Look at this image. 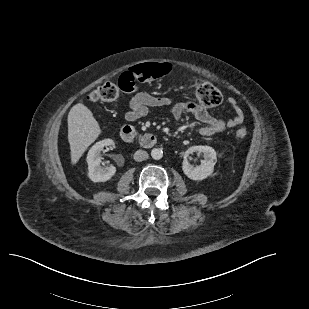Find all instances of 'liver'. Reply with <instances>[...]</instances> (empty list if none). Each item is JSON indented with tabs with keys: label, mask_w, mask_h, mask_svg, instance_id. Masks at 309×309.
<instances>
[{
	"label": "liver",
	"mask_w": 309,
	"mask_h": 309,
	"mask_svg": "<svg viewBox=\"0 0 309 309\" xmlns=\"http://www.w3.org/2000/svg\"><path fill=\"white\" fill-rule=\"evenodd\" d=\"M67 122L71 164L75 165L85 150L98 138L101 129L92 112L82 103L70 109Z\"/></svg>",
	"instance_id": "6515ba94"
}]
</instances>
